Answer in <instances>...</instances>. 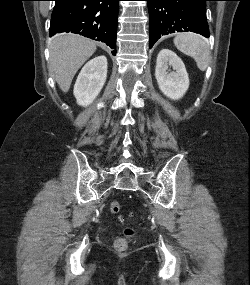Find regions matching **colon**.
<instances>
[{
  "label": "colon",
  "instance_id": "obj_1",
  "mask_svg": "<svg viewBox=\"0 0 250 285\" xmlns=\"http://www.w3.org/2000/svg\"><path fill=\"white\" fill-rule=\"evenodd\" d=\"M110 211L113 214H116L120 210V204L117 201H113L110 204ZM134 235V230L130 227L125 228L124 236L118 237L114 241V246L118 251H124L128 246L129 239Z\"/></svg>",
  "mask_w": 250,
  "mask_h": 285
}]
</instances>
